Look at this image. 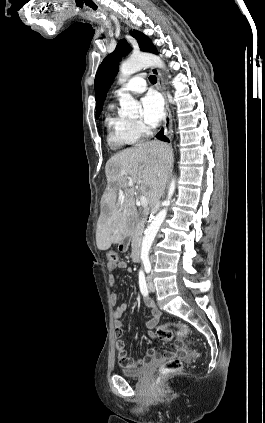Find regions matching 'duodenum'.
<instances>
[{
  "label": "duodenum",
  "instance_id": "obj_1",
  "mask_svg": "<svg viewBox=\"0 0 265 423\" xmlns=\"http://www.w3.org/2000/svg\"><path fill=\"white\" fill-rule=\"evenodd\" d=\"M140 241L139 239H136L133 243V247H132V252H131V257L132 260L134 262H139L140 261Z\"/></svg>",
  "mask_w": 265,
  "mask_h": 423
}]
</instances>
